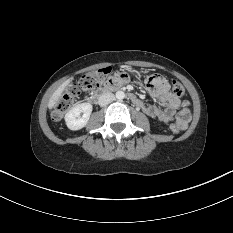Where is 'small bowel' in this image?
<instances>
[{"label": "small bowel", "mask_w": 233, "mask_h": 233, "mask_svg": "<svg viewBox=\"0 0 233 233\" xmlns=\"http://www.w3.org/2000/svg\"><path fill=\"white\" fill-rule=\"evenodd\" d=\"M136 76L127 69H122L113 75V82L116 86L122 83L133 84ZM147 88L151 96L158 102L161 108L153 105H146L142 101L138 105L148 116L157 118L163 123L174 121L180 128L185 129L191 119L189 104L181 101L169 91V84L160 75L149 76L146 79Z\"/></svg>", "instance_id": "small-bowel-1"}]
</instances>
